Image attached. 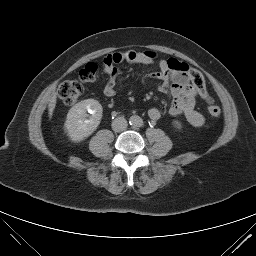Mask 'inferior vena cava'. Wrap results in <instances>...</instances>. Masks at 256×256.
<instances>
[{"instance_id": "inferior-vena-cava-1", "label": "inferior vena cava", "mask_w": 256, "mask_h": 256, "mask_svg": "<svg viewBox=\"0 0 256 256\" xmlns=\"http://www.w3.org/2000/svg\"><path fill=\"white\" fill-rule=\"evenodd\" d=\"M127 121L123 117H117L112 122V129L115 132H121L124 131L127 128Z\"/></svg>"}]
</instances>
